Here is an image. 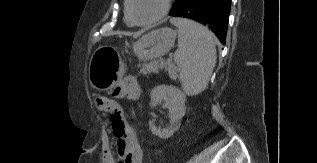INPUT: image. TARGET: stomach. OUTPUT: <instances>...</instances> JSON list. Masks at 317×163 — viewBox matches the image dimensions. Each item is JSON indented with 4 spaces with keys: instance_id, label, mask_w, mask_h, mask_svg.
Returning a JSON list of instances; mask_svg holds the SVG:
<instances>
[{
    "instance_id": "obj_1",
    "label": "stomach",
    "mask_w": 317,
    "mask_h": 163,
    "mask_svg": "<svg viewBox=\"0 0 317 163\" xmlns=\"http://www.w3.org/2000/svg\"><path fill=\"white\" fill-rule=\"evenodd\" d=\"M176 32L171 28L154 30L137 40L133 45L135 55L141 60H153L168 53L173 47ZM106 46L99 47L89 63L90 84L98 90L112 88L123 74V63L118 57L113 61L106 55L111 52Z\"/></svg>"
}]
</instances>
